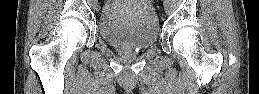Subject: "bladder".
I'll return each instance as SVG.
<instances>
[{"label": "bladder", "instance_id": "1", "mask_svg": "<svg viewBox=\"0 0 259 94\" xmlns=\"http://www.w3.org/2000/svg\"><path fill=\"white\" fill-rule=\"evenodd\" d=\"M98 31L111 45L145 49L157 40L158 19L146 0L109 1L100 14Z\"/></svg>", "mask_w": 259, "mask_h": 94}]
</instances>
